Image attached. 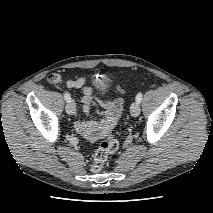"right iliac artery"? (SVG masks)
Wrapping results in <instances>:
<instances>
[{"label":"right iliac artery","instance_id":"right-iliac-artery-1","mask_svg":"<svg viewBox=\"0 0 213 213\" xmlns=\"http://www.w3.org/2000/svg\"><path fill=\"white\" fill-rule=\"evenodd\" d=\"M64 99L67 101V102H70L71 101V97H70V94L65 92L64 93Z\"/></svg>","mask_w":213,"mask_h":213}]
</instances>
